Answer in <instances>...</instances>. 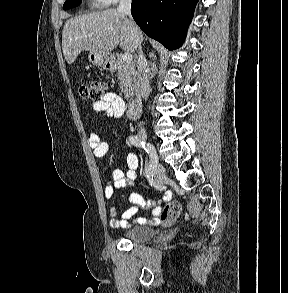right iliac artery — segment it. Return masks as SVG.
<instances>
[{
	"label": "right iliac artery",
	"instance_id": "obj_1",
	"mask_svg": "<svg viewBox=\"0 0 288 293\" xmlns=\"http://www.w3.org/2000/svg\"><path fill=\"white\" fill-rule=\"evenodd\" d=\"M129 142L137 147H142L149 154L150 164L145 169V175L150 174V170H158V166L161 163L159 156H156L155 147H149V144L141 141L137 136L131 135L129 137Z\"/></svg>",
	"mask_w": 288,
	"mask_h": 293
}]
</instances>
